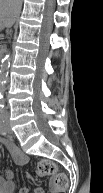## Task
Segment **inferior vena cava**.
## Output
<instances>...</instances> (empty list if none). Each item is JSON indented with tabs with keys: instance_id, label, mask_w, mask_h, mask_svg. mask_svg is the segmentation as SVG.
I'll return each instance as SVG.
<instances>
[{
	"instance_id": "1",
	"label": "inferior vena cava",
	"mask_w": 103,
	"mask_h": 193,
	"mask_svg": "<svg viewBox=\"0 0 103 193\" xmlns=\"http://www.w3.org/2000/svg\"><path fill=\"white\" fill-rule=\"evenodd\" d=\"M4 89H6V87H4ZM3 115H4V116H7V115H8L7 107L4 108V110H3Z\"/></svg>"
}]
</instances>
